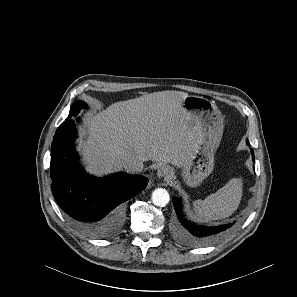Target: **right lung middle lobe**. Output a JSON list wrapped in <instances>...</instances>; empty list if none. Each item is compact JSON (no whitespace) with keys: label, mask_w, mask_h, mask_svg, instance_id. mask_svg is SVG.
Segmentation results:
<instances>
[{"label":"right lung middle lobe","mask_w":297,"mask_h":297,"mask_svg":"<svg viewBox=\"0 0 297 297\" xmlns=\"http://www.w3.org/2000/svg\"><path fill=\"white\" fill-rule=\"evenodd\" d=\"M86 107H87V105L85 102L80 101V100L75 101L73 103V105L71 106L68 118H72V117L75 118L79 114V112L81 110L85 109Z\"/></svg>","instance_id":"right-lung-middle-lobe-1"}]
</instances>
